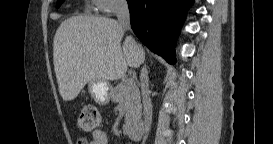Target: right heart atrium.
<instances>
[{"instance_id": "1", "label": "right heart atrium", "mask_w": 273, "mask_h": 144, "mask_svg": "<svg viewBox=\"0 0 273 144\" xmlns=\"http://www.w3.org/2000/svg\"><path fill=\"white\" fill-rule=\"evenodd\" d=\"M96 10L111 15L126 5L125 0H94Z\"/></svg>"}]
</instances>
